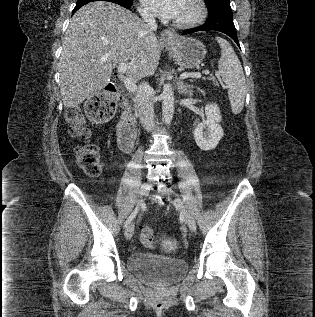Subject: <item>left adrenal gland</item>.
<instances>
[{
  "mask_svg": "<svg viewBox=\"0 0 315 317\" xmlns=\"http://www.w3.org/2000/svg\"><path fill=\"white\" fill-rule=\"evenodd\" d=\"M190 88H191L190 85L183 83L180 80H177V90H178L179 94L190 95L191 94Z\"/></svg>",
  "mask_w": 315,
  "mask_h": 317,
  "instance_id": "a2214340",
  "label": "left adrenal gland"
}]
</instances>
